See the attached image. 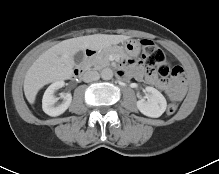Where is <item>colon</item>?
<instances>
[{
    "instance_id": "obj_1",
    "label": "colon",
    "mask_w": 219,
    "mask_h": 174,
    "mask_svg": "<svg viewBox=\"0 0 219 174\" xmlns=\"http://www.w3.org/2000/svg\"><path fill=\"white\" fill-rule=\"evenodd\" d=\"M141 47L142 58L145 64L149 67L155 68L162 78L171 76L179 81H184L185 77L182 69L179 67L171 68L164 51L155 43L144 39L141 40ZM176 110L177 106L175 104H169L167 106L166 113L171 116L176 112Z\"/></svg>"
}]
</instances>
